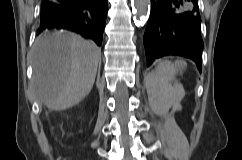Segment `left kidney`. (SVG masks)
I'll return each mask as SVG.
<instances>
[{
  "mask_svg": "<svg viewBox=\"0 0 242 160\" xmlns=\"http://www.w3.org/2000/svg\"><path fill=\"white\" fill-rule=\"evenodd\" d=\"M181 98H182V94H181V95L176 99V101L173 103L172 106H174L175 109L180 108L179 102H180ZM168 110H169V107H160V106H159V107L156 108V111H157L158 114H165V113L168 112Z\"/></svg>",
  "mask_w": 242,
  "mask_h": 160,
  "instance_id": "5707ae66",
  "label": "left kidney"
}]
</instances>
